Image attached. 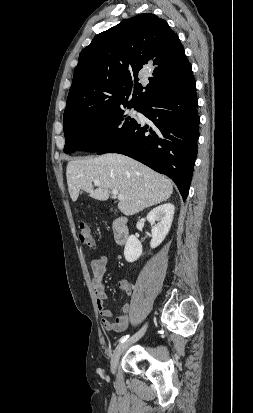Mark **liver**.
<instances>
[{
  "instance_id": "obj_1",
  "label": "liver",
  "mask_w": 253,
  "mask_h": 413,
  "mask_svg": "<svg viewBox=\"0 0 253 413\" xmlns=\"http://www.w3.org/2000/svg\"><path fill=\"white\" fill-rule=\"evenodd\" d=\"M66 177L73 202L80 190L100 201L109 198L110 190H118L124 197L118 209L126 216L166 201L173 192L168 178L122 154L71 160L66 168ZM95 180L100 181L96 189L93 185Z\"/></svg>"
}]
</instances>
